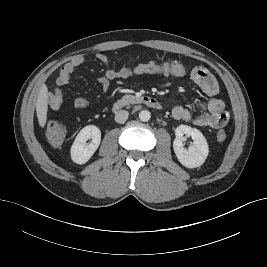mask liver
<instances>
[{
  "mask_svg": "<svg viewBox=\"0 0 267 267\" xmlns=\"http://www.w3.org/2000/svg\"><path fill=\"white\" fill-rule=\"evenodd\" d=\"M48 100H49V93L48 88L44 84L42 85L37 102H36V113L39 125L43 128L47 121V111H48Z\"/></svg>",
  "mask_w": 267,
  "mask_h": 267,
  "instance_id": "liver-1",
  "label": "liver"
}]
</instances>
